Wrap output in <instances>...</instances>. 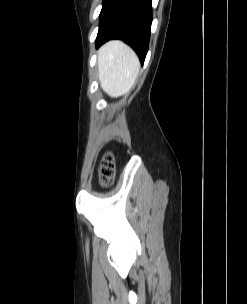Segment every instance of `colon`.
Returning a JSON list of instances; mask_svg holds the SVG:
<instances>
[{
	"mask_svg": "<svg viewBox=\"0 0 247 304\" xmlns=\"http://www.w3.org/2000/svg\"><path fill=\"white\" fill-rule=\"evenodd\" d=\"M115 176V164L113 155L106 152L102 157V162L99 169L100 182L103 186H108L112 183Z\"/></svg>",
	"mask_w": 247,
	"mask_h": 304,
	"instance_id": "5ec220e1",
	"label": "colon"
}]
</instances>
